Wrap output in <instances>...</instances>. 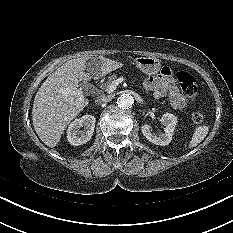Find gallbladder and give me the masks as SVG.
Here are the masks:
<instances>
[{"instance_id": "obj_1", "label": "gallbladder", "mask_w": 233, "mask_h": 233, "mask_svg": "<svg viewBox=\"0 0 233 233\" xmlns=\"http://www.w3.org/2000/svg\"><path fill=\"white\" fill-rule=\"evenodd\" d=\"M100 60L99 57H92L88 62H87V71L89 73L92 72V66L98 61Z\"/></svg>"}]
</instances>
